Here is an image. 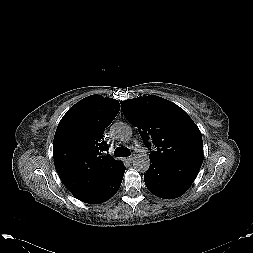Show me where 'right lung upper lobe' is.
<instances>
[{"instance_id": "obj_1", "label": "right lung upper lobe", "mask_w": 253, "mask_h": 253, "mask_svg": "<svg viewBox=\"0 0 253 253\" xmlns=\"http://www.w3.org/2000/svg\"><path fill=\"white\" fill-rule=\"evenodd\" d=\"M120 110L116 99L88 96L72 106L54 136L56 171L69 191L82 198L113 178L124 166L106 154L105 128Z\"/></svg>"}]
</instances>
